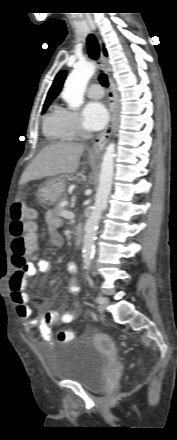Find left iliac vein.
I'll use <instances>...</instances> for the list:
<instances>
[{
    "label": "left iliac vein",
    "instance_id": "obj_1",
    "mask_svg": "<svg viewBox=\"0 0 177 440\" xmlns=\"http://www.w3.org/2000/svg\"><path fill=\"white\" fill-rule=\"evenodd\" d=\"M103 298H104L103 303H101V304L98 306V310H99L100 313H104L105 309H106L107 306H108V300H107V298H105V297H103Z\"/></svg>",
    "mask_w": 177,
    "mask_h": 440
}]
</instances>
